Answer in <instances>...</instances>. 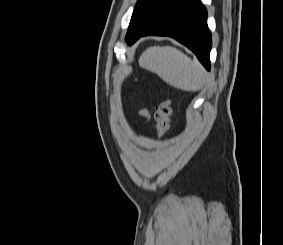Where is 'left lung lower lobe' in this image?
<instances>
[{"mask_svg": "<svg viewBox=\"0 0 283 245\" xmlns=\"http://www.w3.org/2000/svg\"><path fill=\"white\" fill-rule=\"evenodd\" d=\"M169 36L192 50L207 70L212 45L207 26V11L200 0H174L168 9L141 36ZM130 44V45H131Z\"/></svg>", "mask_w": 283, "mask_h": 245, "instance_id": "1", "label": "left lung lower lobe"}]
</instances>
